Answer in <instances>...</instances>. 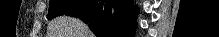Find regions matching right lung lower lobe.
<instances>
[{"mask_svg": "<svg viewBox=\"0 0 219 37\" xmlns=\"http://www.w3.org/2000/svg\"><path fill=\"white\" fill-rule=\"evenodd\" d=\"M132 8V0H82L65 14L88 23L97 37H132L136 26Z\"/></svg>", "mask_w": 219, "mask_h": 37, "instance_id": "obj_1", "label": "right lung lower lobe"}]
</instances>
